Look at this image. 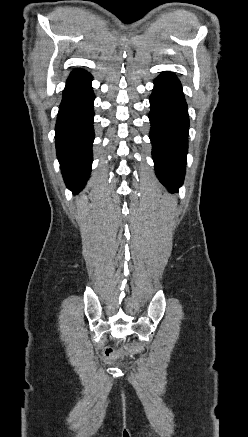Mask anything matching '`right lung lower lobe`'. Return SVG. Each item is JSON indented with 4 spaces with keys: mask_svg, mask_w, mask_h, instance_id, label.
<instances>
[{
    "mask_svg": "<svg viewBox=\"0 0 248 437\" xmlns=\"http://www.w3.org/2000/svg\"><path fill=\"white\" fill-rule=\"evenodd\" d=\"M91 81L92 76L85 70L70 73L55 127L57 157L73 194L84 188L91 172L95 99Z\"/></svg>",
    "mask_w": 248,
    "mask_h": 437,
    "instance_id": "right-lung-lower-lobe-1",
    "label": "right lung lower lobe"
}]
</instances>
